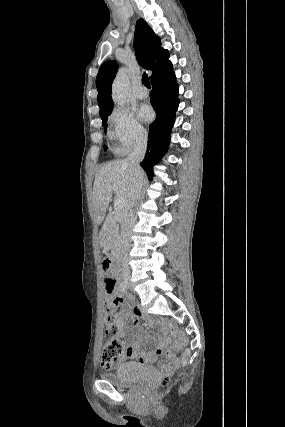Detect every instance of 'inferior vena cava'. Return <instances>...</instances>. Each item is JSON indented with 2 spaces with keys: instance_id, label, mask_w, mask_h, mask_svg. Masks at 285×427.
I'll return each mask as SVG.
<instances>
[{
  "instance_id": "1",
  "label": "inferior vena cava",
  "mask_w": 285,
  "mask_h": 427,
  "mask_svg": "<svg viewBox=\"0 0 285 427\" xmlns=\"http://www.w3.org/2000/svg\"><path fill=\"white\" fill-rule=\"evenodd\" d=\"M147 149V136L140 135L134 145V150L131 152L126 161L129 164V167L134 175V186L133 191L129 200L127 207L125 208L124 222H123V231H122V253H123V262L122 270L126 274L130 273L128 262L126 261V256L130 246V229L133 222V217L131 214L132 208L134 207L135 202L139 198L141 187L143 183V171L140 167V162L144 159Z\"/></svg>"
}]
</instances>
